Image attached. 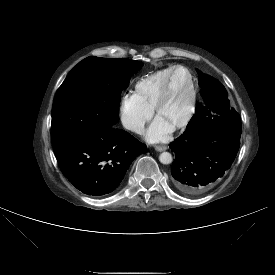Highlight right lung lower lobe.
Returning a JSON list of instances; mask_svg holds the SVG:
<instances>
[{"label": "right lung lower lobe", "mask_w": 275, "mask_h": 275, "mask_svg": "<svg viewBox=\"0 0 275 275\" xmlns=\"http://www.w3.org/2000/svg\"><path fill=\"white\" fill-rule=\"evenodd\" d=\"M53 147L65 177L91 196L114 191L131 162L146 149L129 133L114 127L67 137Z\"/></svg>", "instance_id": "98d812e1"}]
</instances>
